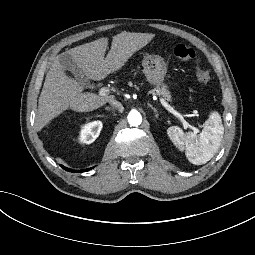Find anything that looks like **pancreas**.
I'll return each mask as SVG.
<instances>
[{
    "label": "pancreas",
    "mask_w": 255,
    "mask_h": 255,
    "mask_svg": "<svg viewBox=\"0 0 255 255\" xmlns=\"http://www.w3.org/2000/svg\"><path fill=\"white\" fill-rule=\"evenodd\" d=\"M129 86H134L136 88V90H139V87H137L136 85H133L132 82H128ZM148 94H153V95H158V96H162L165 100L170 101L171 100V95L169 90L167 89V86L165 84H161L156 86L154 89L150 90L148 92Z\"/></svg>",
    "instance_id": "1"
}]
</instances>
